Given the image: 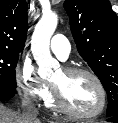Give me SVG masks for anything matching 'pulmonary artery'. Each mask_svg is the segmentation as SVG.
Segmentation results:
<instances>
[{
	"mask_svg": "<svg viewBox=\"0 0 118 123\" xmlns=\"http://www.w3.org/2000/svg\"><path fill=\"white\" fill-rule=\"evenodd\" d=\"M50 48L52 52L61 60H66L71 51V46L68 39L61 34H56L53 36L50 41Z\"/></svg>",
	"mask_w": 118,
	"mask_h": 123,
	"instance_id": "1",
	"label": "pulmonary artery"
}]
</instances>
